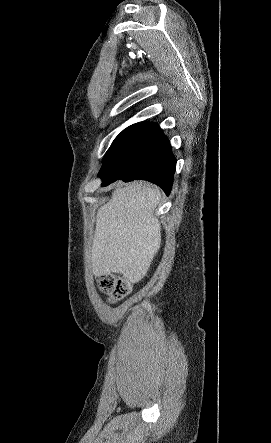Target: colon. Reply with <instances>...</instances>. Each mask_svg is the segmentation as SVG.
Returning a JSON list of instances; mask_svg holds the SVG:
<instances>
[{
    "mask_svg": "<svg viewBox=\"0 0 271 443\" xmlns=\"http://www.w3.org/2000/svg\"><path fill=\"white\" fill-rule=\"evenodd\" d=\"M98 288L115 299L126 297L131 289V281L123 275L111 274L97 277Z\"/></svg>",
    "mask_w": 271,
    "mask_h": 443,
    "instance_id": "5ec220e1",
    "label": "colon"
}]
</instances>
